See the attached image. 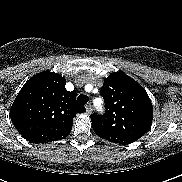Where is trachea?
<instances>
[{
    "label": "trachea",
    "mask_w": 182,
    "mask_h": 182,
    "mask_svg": "<svg viewBox=\"0 0 182 182\" xmlns=\"http://www.w3.org/2000/svg\"><path fill=\"white\" fill-rule=\"evenodd\" d=\"M88 100H89V98L86 95L81 94L78 96L77 102H78V104L84 106L87 104Z\"/></svg>",
    "instance_id": "obj_1"
}]
</instances>
